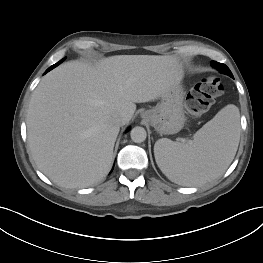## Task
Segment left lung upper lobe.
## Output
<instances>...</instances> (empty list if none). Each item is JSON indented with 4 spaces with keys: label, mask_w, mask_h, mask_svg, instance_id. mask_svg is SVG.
I'll return each mask as SVG.
<instances>
[{
    "label": "left lung upper lobe",
    "mask_w": 263,
    "mask_h": 263,
    "mask_svg": "<svg viewBox=\"0 0 263 263\" xmlns=\"http://www.w3.org/2000/svg\"><path fill=\"white\" fill-rule=\"evenodd\" d=\"M211 64H212V66L219 69L222 73H224L230 77H233L231 71L229 70V68L226 65H224L222 63L215 62V61H212Z\"/></svg>",
    "instance_id": "1"
}]
</instances>
